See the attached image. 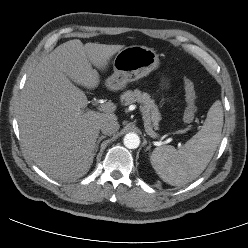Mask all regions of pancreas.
<instances>
[{
	"mask_svg": "<svg viewBox=\"0 0 248 248\" xmlns=\"http://www.w3.org/2000/svg\"><path fill=\"white\" fill-rule=\"evenodd\" d=\"M120 99L124 105H130L135 102L140 103L145 114V124L158 129V122L161 119V116L158 106L148 93L135 89L134 91L124 92Z\"/></svg>",
	"mask_w": 248,
	"mask_h": 248,
	"instance_id": "pancreas-1",
	"label": "pancreas"
}]
</instances>
